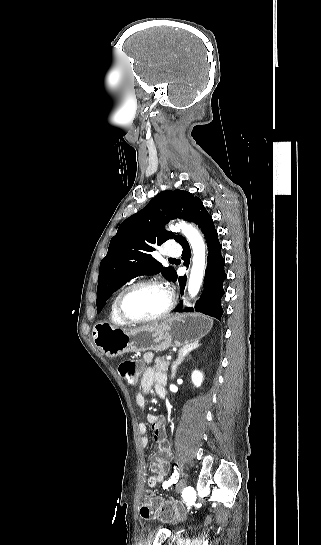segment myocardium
I'll return each mask as SVG.
<instances>
[{"instance_id":"f54148a6","label":"myocardium","mask_w":321,"mask_h":545,"mask_svg":"<svg viewBox=\"0 0 321 545\" xmlns=\"http://www.w3.org/2000/svg\"><path fill=\"white\" fill-rule=\"evenodd\" d=\"M138 288H151V289H158V290L164 291L169 298V304L167 308L159 315H156L150 318L141 319V320L129 319L123 311V307H122L123 298L128 292ZM174 307H175V297L173 292L163 283L154 281V280H144V281H138V282L132 283L128 285L127 287H125L124 289H122L118 293L116 298V312L119 319L121 320L123 324H125L126 326H131V327L142 326L146 324L159 322L165 319L172 312Z\"/></svg>"}]
</instances>
